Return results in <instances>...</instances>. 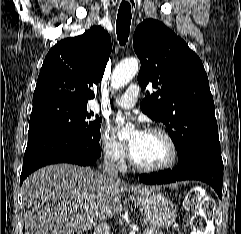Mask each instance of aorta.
Masks as SVG:
<instances>
[{"label": "aorta", "instance_id": "aorta-1", "mask_svg": "<svg viewBox=\"0 0 241 234\" xmlns=\"http://www.w3.org/2000/svg\"><path fill=\"white\" fill-rule=\"evenodd\" d=\"M139 69V62L135 58L127 59L120 62L114 69L111 78V85L114 89L124 87L136 75ZM132 129L129 126L123 128L119 133L120 139L130 136Z\"/></svg>", "mask_w": 241, "mask_h": 234}]
</instances>
